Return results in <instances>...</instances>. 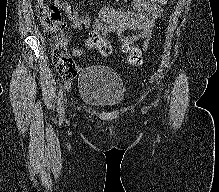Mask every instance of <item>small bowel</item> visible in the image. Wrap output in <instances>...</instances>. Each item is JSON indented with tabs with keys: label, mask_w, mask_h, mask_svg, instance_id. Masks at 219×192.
Instances as JSON below:
<instances>
[{
	"label": "small bowel",
	"mask_w": 219,
	"mask_h": 192,
	"mask_svg": "<svg viewBox=\"0 0 219 192\" xmlns=\"http://www.w3.org/2000/svg\"><path fill=\"white\" fill-rule=\"evenodd\" d=\"M169 0H132V6L127 10H118L112 6L101 7L96 15L82 16L72 10L67 0H56V5L63 10L71 22V27L81 32L84 43L72 51L73 56H79L83 50L96 49V40L107 34L117 33L123 41L134 43L143 40L142 48L136 47L141 53L147 51L148 43L153 34L155 21L162 14V6ZM125 31H132L133 36H122Z\"/></svg>",
	"instance_id": "small-bowel-1"
}]
</instances>
